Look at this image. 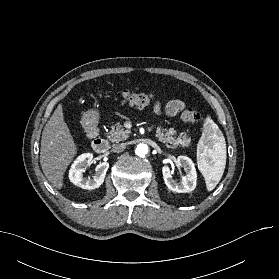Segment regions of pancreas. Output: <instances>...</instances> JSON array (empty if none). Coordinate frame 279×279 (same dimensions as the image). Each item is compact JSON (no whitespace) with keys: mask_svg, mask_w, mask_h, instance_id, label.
I'll return each mask as SVG.
<instances>
[{"mask_svg":"<svg viewBox=\"0 0 279 279\" xmlns=\"http://www.w3.org/2000/svg\"><path fill=\"white\" fill-rule=\"evenodd\" d=\"M156 137L160 142L166 143L167 147H177L181 146H189L190 139L186 136L183 137H174L176 135V130L174 128L164 129L160 126L157 127ZM129 137V131L123 128L119 122L115 125L111 126V130L108 134V139L111 142H120L126 140Z\"/></svg>","mask_w":279,"mask_h":279,"instance_id":"pancreas-1","label":"pancreas"}]
</instances>
